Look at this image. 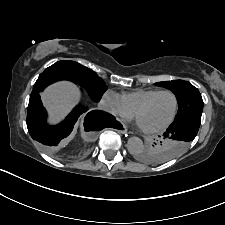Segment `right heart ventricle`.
<instances>
[{
    "mask_svg": "<svg viewBox=\"0 0 225 225\" xmlns=\"http://www.w3.org/2000/svg\"><path fill=\"white\" fill-rule=\"evenodd\" d=\"M158 91V89H137L123 94L122 99L126 107L134 114V111L142 102Z\"/></svg>",
    "mask_w": 225,
    "mask_h": 225,
    "instance_id": "right-heart-ventricle-1",
    "label": "right heart ventricle"
}]
</instances>
